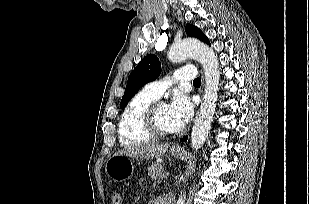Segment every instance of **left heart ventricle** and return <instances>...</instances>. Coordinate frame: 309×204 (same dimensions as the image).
<instances>
[{"instance_id":"1","label":"left heart ventricle","mask_w":309,"mask_h":204,"mask_svg":"<svg viewBox=\"0 0 309 204\" xmlns=\"http://www.w3.org/2000/svg\"><path fill=\"white\" fill-rule=\"evenodd\" d=\"M156 122L160 129L164 131H174L172 128V123L169 115V107L161 105L156 113Z\"/></svg>"}]
</instances>
